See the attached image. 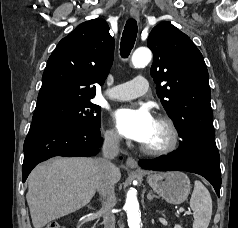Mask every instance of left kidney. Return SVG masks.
<instances>
[{
  "instance_id": "left-kidney-1",
  "label": "left kidney",
  "mask_w": 238,
  "mask_h": 228,
  "mask_svg": "<svg viewBox=\"0 0 238 228\" xmlns=\"http://www.w3.org/2000/svg\"><path fill=\"white\" fill-rule=\"evenodd\" d=\"M174 228H182V226H181V225H178V224H176V225L174 226Z\"/></svg>"
}]
</instances>
